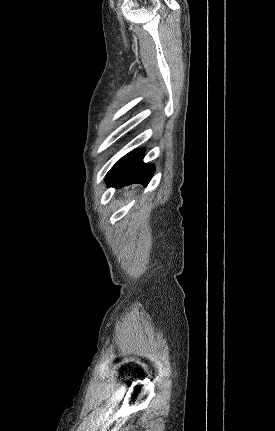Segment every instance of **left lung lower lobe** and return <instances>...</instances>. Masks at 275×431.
Returning a JSON list of instances; mask_svg holds the SVG:
<instances>
[{
  "label": "left lung lower lobe",
  "instance_id": "obj_1",
  "mask_svg": "<svg viewBox=\"0 0 275 431\" xmlns=\"http://www.w3.org/2000/svg\"><path fill=\"white\" fill-rule=\"evenodd\" d=\"M144 149L134 150L122 157L110 169L106 176L108 187L122 188L132 183L145 186L150 182L155 168L152 164L143 163Z\"/></svg>",
  "mask_w": 275,
  "mask_h": 431
}]
</instances>
